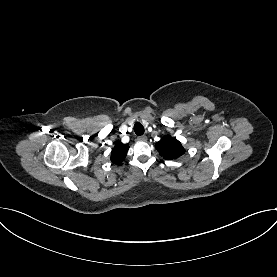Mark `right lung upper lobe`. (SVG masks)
<instances>
[{"label":"right lung upper lobe","mask_w":277,"mask_h":277,"mask_svg":"<svg viewBox=\"0 0 277 277\" xmlns=\"http://www.w3.org/2000/svg\"><path fill=\"white\" fill-rule=\"evenodd\" d=\"M128 149V144H123L121 142L116 143L111 152V161L117 165L121 164L126 157Z\"/></svg>","instance_id":"1"}]
</instances>
